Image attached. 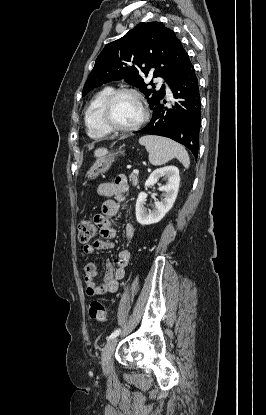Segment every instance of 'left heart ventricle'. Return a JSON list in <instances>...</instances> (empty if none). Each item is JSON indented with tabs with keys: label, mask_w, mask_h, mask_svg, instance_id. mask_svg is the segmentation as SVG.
<instances>
[{
	"label": "left heart ventricle",
	"mask_w": 266,
	"mask_h": 415,
	"mask_svg": "<svg viewBox=\"0 0 266 415\" xmlns=\"http://www.w3.org/2000/svg\"><path fill=\"white\" fill-rule=\"evenodd\" d=\"M141 116L140 104L133 95L122 94L115 100L112 119L118 126H132L140 120Z\"/></svg>",
	"instance_id": "b2bd125f"
}]
</instances>
